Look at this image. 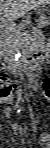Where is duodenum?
Instances as JSON below:
<instances>
[{"label": "duodenum", "mask_w": 50, "mask_h": 148, "mask_svg": "<svg viewBox=\"0 0 50 148\" xmlns=\"http://www.w3.org/2000/svg\"><path fill=\"white\" fill-rule=\"evenodd\" d=\"M44 58L43 55H30L25 59V62L28 66H32L34 63L41 61Z\"/></svg>", "instance_id": "410a0bca"}]
</instances>
